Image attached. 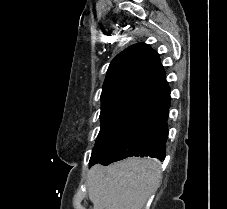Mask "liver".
<instances>
[{
  "mask_svg": "<svg viewBox=\"0 0 227 209\" xmlns=\"http://www.w3.org/2000/svg\"><path fill=\"white\" fill-rule=\"evenodd\" d=\"M160 169V161L137 157L94 165L87 175L88 197L94 209H143L157 191Z\"/></svg>",
  "mask_w": 227,
  "mask_h": 209,
  "instance_id": "obj_1",
  "label": "liver"
}]
</instances>
